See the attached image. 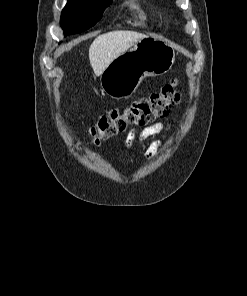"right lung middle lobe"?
Returning a JSON list of instances; mask_svg holds the SVG:
<instances>
[{
	"label": "right lung middle lobe",
	"mask_w": 247,
	"mask_h": 296,
	"mask_svg": "<svg viewBox=\"0 0 247 296\" xmlns=\"http://www.w3.org/2000/svg\"><path fill=\"white\" fill-rule=\"evenodd\" d=\"M112 0H68L60 24L65 35L75 34L95 25Z\"/></svg>",
	"instance_id": "dd1d6c3e"
}]
</instances>
